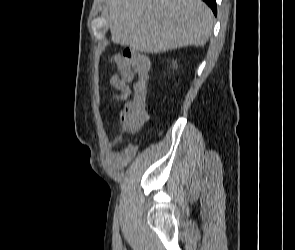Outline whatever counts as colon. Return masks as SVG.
Returning <instances> with one entry per match:
<instances>
[{
	"mask_svg": "<svg viewBox=\"0 0 295 250\" xmlns=\"http://www.w3.org/2000/svg\"><path fill=\"white\" fill-rule=\"evenodd\" d=\"M131 50H125L114 57L115 62L130 56ZM148 84L146 79H137L132 84V95L128 102L119 112V120L122 127L129 132L139 130L147 121L148 113L146 109V96Z\"/></svg>",
	"mask_w": 295,
	"mask_h": 250,
	"instance_id": "colon-1",
	"label": "colon"
}]
</instances>
